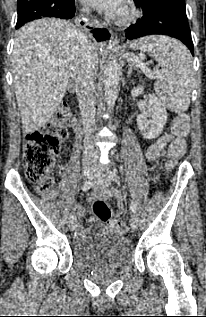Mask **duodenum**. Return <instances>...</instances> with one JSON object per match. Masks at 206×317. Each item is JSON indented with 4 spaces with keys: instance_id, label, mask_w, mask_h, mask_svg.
I'll return each mask as SVG.
<instances>
[{
    "instance_id": "obj_1",
    "label": "duodenum",
    "mask_w": 206,
    "mask_h": 317,
    "mask_svg": "<svg viewBox=\"0 0 206 317\" xmlns=\"http://www.w3.org/2000/svg\"><path fill=\"white\" fill-rule=\"evenodd\" d=\"M73 130L75 134H78L80 132V123L77 118L74 119Z\"/></svg>"
}]
</instances>
